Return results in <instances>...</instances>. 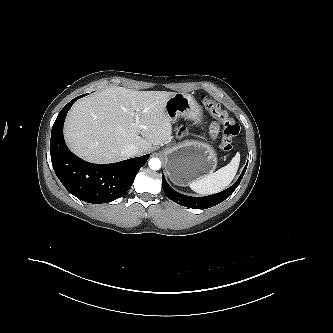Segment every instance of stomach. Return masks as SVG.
<instances>
[{"label": "stomach", "instance_id": "0dacf381", "mask_svg": "<svg viewBox=\"0 0 333 333\" xmlns=\"http://www.w3.org/2000/svg\"><path fill=\"white\" fill-rule=\"evenodd\" d=\"M165 112L171 120L184 117L200 122L202 112L195 98L190 94L175 93L165 104ZM167 174L177 185L185 186L211 174L217 166L213 147L197 140H186L167 148L163 152Z\"/></svg>", "mask_w": 333, "mask_h": 333}]
</instances>
